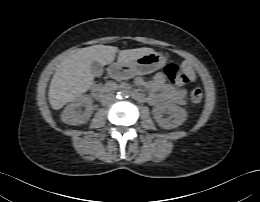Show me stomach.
I'll return each instance as SVG.
<instances>
[{
  "mask_svg": "<svg viewBox=\"0 0 260 202\" xmlns=\"http://www.w3.org/2000/svg\"><path fill=\"white\" fill-rule=\"evenodd\" d=\"M166 63V57L160 53L145 54L129 63H117L113 65V76L119 79H129L135 75L152 73Z\"/></svg>",
  "mask_w": 260,
  "mask_h": 202,
  "instance_id": "1",
  "label": "stomach"
}]
</instances>
